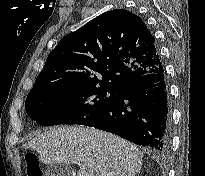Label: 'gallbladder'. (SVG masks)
I'll use <instances>...</instances> for the list:
<instances>
[{
  "label": "gallbladder",
  "instance_id": "obj_1",
  "mask_svg": "<svg viewBox=\"0 0 205 176\" xmlns=\"http://www.w3.org/2000/svg\"><path fill=\"white\" fill-rule=\"evenodd\" d=\"M46 176H71L72 170L69 165L65 164H50L45 170Z\"/></svg>",
  "mask_w": 205,
  "mask_h": 176
}]
</instances>
